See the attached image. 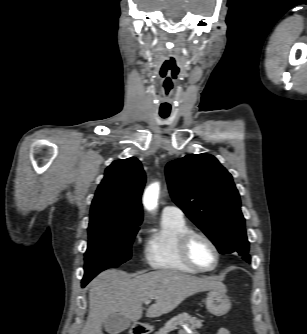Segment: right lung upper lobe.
Returning <instances> with one entry per match:
<instances>
[{
	"label": "right lung upper lobe",
	"instance_id": "cb5924a9",
	"mask_svg": "<svg viewBox=\"0 0 307 334\" xmlns=\"http://www.w3.org/2000/svg\"><path fill=\"white\" fill-rule=\"evenodd\" d=\"M145 181V172L137 158L112 162L106 169L92 201L89 225L141 224V195Z\"/></svg>",
	"mask_w": 307,
	"mask_h": 334
}]
</instances>
